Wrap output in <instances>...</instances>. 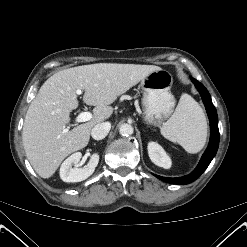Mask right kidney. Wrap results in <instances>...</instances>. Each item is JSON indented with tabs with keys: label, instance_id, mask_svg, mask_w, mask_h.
I'll use <instances>...</instances> for the list:
<instances>
[{
	"label": "right kidney",
	"instance_id": "right-kidney-1",
	"mask_svg": "<svg viewBox=\"0 0 247 247\" xmlns=\"http://www.w3.org/2000/svg\"><path fill=\"white\" fill-rule=\"evenodd\" d=\"M81 157L82 154L80 152H76L62 163L60 167V177L64 182H80L93 174L99 162V155L94 153L86 166L83 168H78L77 164Z\"/></svg>",
	"mask_w": 247,
	"mask_h": 247
}]
</instances>
